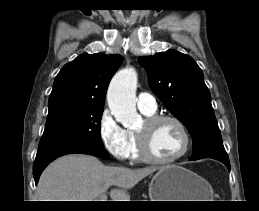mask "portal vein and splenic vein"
<instances>
[{"label": "portal vein and splenic vein", "mask_w": 259, "mask_h": 211, "mask_svg": "<svg viewBox=\"0 0 259 211\" xmlns=\"http://www.w3.org/2000/svg\"><path fill=\"white\" fill-rule=\"evenodd\" d=\"M98 201H107V195L106 194H102Z\"/></svg>", "instance_id": "1"}]
</instances>
